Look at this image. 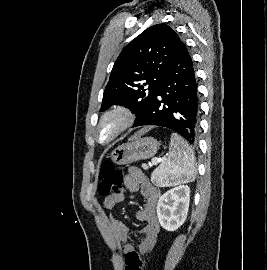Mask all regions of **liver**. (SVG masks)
<instances>
[{"instance_id":"1","label":"liver","mask_w":267,"mask_h":270,"mask_svg":"<svg viewBox=\"0 0 267 270\" xmlns=\"http://www.w3.org/2000/svg\"><path fill=\"white\" fill-rule=\"evenodd\" d=\"M149 130V128H144L142 130H140L138 133H136L132 139L138 138L140 137L142 134L146 133Z\"/></svg>"}]
</instances>
